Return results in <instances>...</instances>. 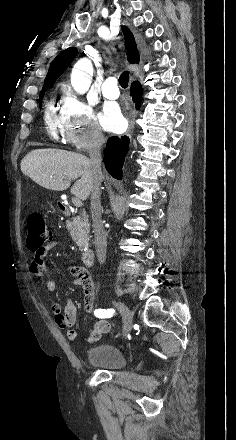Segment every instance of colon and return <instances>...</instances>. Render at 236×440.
Masks as SVG:
<instances>
[{
	"label": "colon",
	"instance_id": "colon-1",
	"mask_svg": "<svg viewBox=\"0 0 236 440\" xmlns=\"http://www.w3.org/2000/svg\"><path fill=\"white\" fill-rule=\"evenodd\" d=\"M52 240V231L39 213L27 217V245L31 250H38Z\"/></svg>",
	"mask_w": 236,
	"mask_h": 440
}]
</instances>
